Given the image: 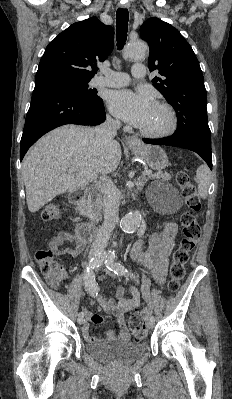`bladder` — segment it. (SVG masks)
Returning <instances> with one entry per match:
<instances>
[{
    "label": "bladder",
    "mask_w": 232,
    "mask_h": 399,
    "mask_svg": "<svg viewBox=\"0 0 232 399\" xmlns=\"http://www.w3.org/2000/svg\"><path fill=\"white\" fill-rule=\"evenodd\" d=\"M147 346L143 342L115 340L108 342L87 343L84 352L88 356L114 365H125L139 359Z\"/></svg>",
    "instance_id": "obj_1"
}]
</instances>
